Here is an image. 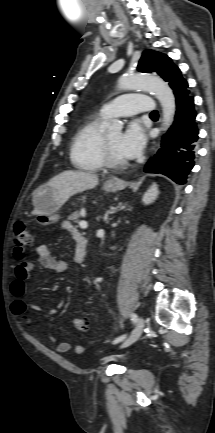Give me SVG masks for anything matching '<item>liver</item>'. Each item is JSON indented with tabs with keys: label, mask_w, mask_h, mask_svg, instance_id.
Here are the masks:
<instances>
[{
	"label": "liver",
	"mask_w": 215,
	"mask_h": 433,
	"mask_svg": "<svg viewBox=\"0 0 215 433\" xmlns=\"http://www.w3.org/2000/svg\"><path fill=\"white\" fill-rule=\"evenodd\" d=\"M99 183L98 176L82 171H63L46 184L54 189L57 202L63 205L71 196L96 187ZM37 215L38 211L34 210Z\"/></svg>",
	"instance_id": "liver-1"
}]
</instances>
